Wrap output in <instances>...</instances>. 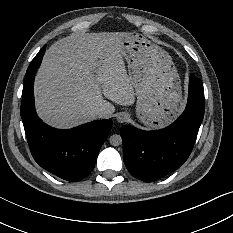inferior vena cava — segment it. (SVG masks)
<instances>
[{"instance_id": "1", "label": "inferior vena cava", "mask_w": 233, "mask_h": 233, "mask_svg": "<svg viewBox=\"0 0 233 233\" xmlns=\"http://www.w3.org/2000/svg\"><path fill=\"white\" fill-rule=\"evenodd\" d=\"M106 114H107V112L104 108H94L91 111V115L94 119L103 118Z\"/></svg>"}]
</instances>
